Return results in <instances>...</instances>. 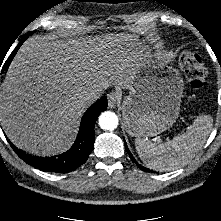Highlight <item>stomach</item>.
<instances>
[{
  "label": "stomach",
  "mask_w": 221,
  "mask_h": 221,
  "mask_svg": "<svg viewBox=\"0 0 221 221\" xmlns=\"http://www.w3.org/2000/svg\"><path fill=\"white\" fill-rule=\"evenodd\" d=\"M179 73L150 60L138 69L122 103L125 128L131 136H156L170 128L180 114L184 89Z\"/></svg>",
  "instance_id": "stomach-1"
}]
</instances>
